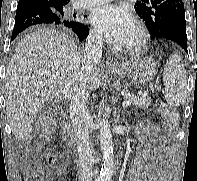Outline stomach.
I'll return each instance as SVG.
<instances>
[{
    "label": "stomach",
    "mask_w": 197,
    "mask_h": 181,
    "mask_svg": "<svg viewBox=\"0 0 197 181\" xmlns=\"http://www.w3.org/2000/svg\"><path fill=\"white\" fill-rule=\"evenodd\" d=\"M111 72L116 76L128 78L136 86H144L154 79L157 65L150 58H134L124 63L121 68H113Z\"/></svg>",
    "instance_id": "0dacf381"
}]
</instances>
